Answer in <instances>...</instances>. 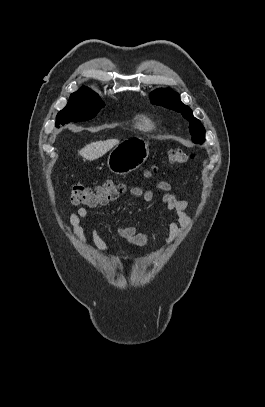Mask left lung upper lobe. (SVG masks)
<instances>
[{"instance_id":"5c2ea615","label":"left lung upper lobe","mask_w":265,"mask_h":407,"mask_svg":"<svg viewBox=\"0 0 265 407\" xmlns=\"http://www.w3.org/2000/svg\"><path fill=\"white\" fill-rule=\"evenodd\" d=\"M150 99L153 104L160 105L174 111H177L183 115L185 119L190 122V133L192 140L195 143L202 144L205 138V129L198 119H196L191 109L184 105L178 93H175L172 89H157L150 94Z\"/></svg>"}]
</instances>
